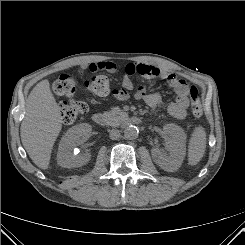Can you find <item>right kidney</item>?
I'll return each instance as SVG.
<instances>
[{"mask_svg":"<svg viewBox=\"0 0 245 245\" xmlns=\"http://www.w3.org/2000/svg\"><path fill=\"white\" fill-rule=\"evenodd\" d=\"M91 131V125L82 123L73 126L65 133L59 143L57 153V162L61 167L75 168L88 163L91 158L90 153L75 154L73 150L80 139L89 136Z\"/></svg>","mask_w":245,"mask_h":245,"instance_id":"1","label":"right kidney"}]
</instances>
